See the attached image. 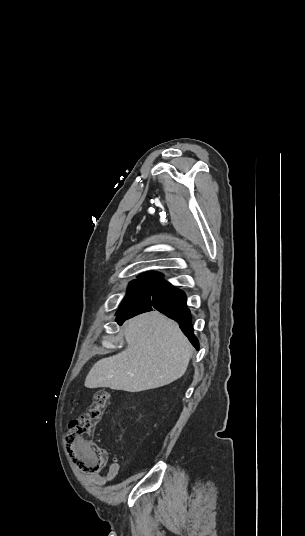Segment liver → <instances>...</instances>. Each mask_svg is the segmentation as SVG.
<instances>
[{"label": "liver", "instance_id": "1", "mask_svg": "<svg viewBox=\"0 0 305 536\" xmlns=\"http://www.w3.org/2000/svg\"><path fill=\"white\" fill-rule=\"evenodd\" d=\"M124 338L126 350L96 362L86 376V388L142 392L184 376L192 346L173 320L159 312L141 314L127 322Z\"/></svg>", "mask_w": 305, "mask_h": 536}]
</instances>
